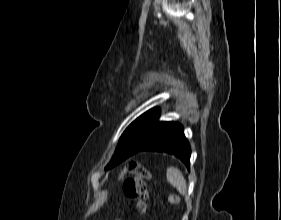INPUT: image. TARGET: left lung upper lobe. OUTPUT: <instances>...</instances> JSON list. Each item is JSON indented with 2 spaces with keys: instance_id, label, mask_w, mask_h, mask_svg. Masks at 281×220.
Masks as SVG:
<instances>
[{
  "instance_id": "1",
  "label": "left lung upper lobe",
  "mask_w": 281,
  "mask_h": 220,
  "mask_svg": "<svg viewBox=\"0 0 281 220\" xmlns=\"http://www.w3.org/2000/svg\"><path fill=\"white\" fill-rule=\"evenodd\" d=\"M160 110L153 108L138 117L124 131L112 160L106 169L112 168L139 151L153 136L161 122L158 121Z\"/></svg>"
}]
</instances>
